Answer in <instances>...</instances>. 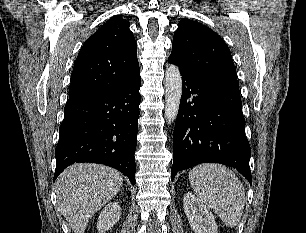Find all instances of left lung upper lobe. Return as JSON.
<instances>
[{
	"instance_id": "5c2ea615",
	"label": "left lung upper lobe",
	"mask_w": 306,
	"mask_h": 233,
	"mask_svg": "<svg viewBox=\"0 0 306 233\" xmlns=\"http://www.w3.org/2000/svg\"><path fill=\"white\" fill-rule=\"evenodd\" d=\"M169 59L194 76L239 86L226 43L217 33L195 21L182 19L178 23Z\"/></svg>"
}]
</instances>
